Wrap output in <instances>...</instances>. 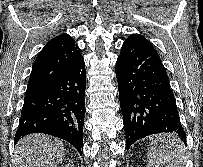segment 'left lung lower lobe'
<instances>
[{
  "instance_id": "0a47b994",
  "label": "left lung lower lobe",
  "mask_w": 203,
  "mask_h": 167,
  "mask_svg": "<svg viewBox=\"0 0 203 167\" xmlns=\"http://www.w3.org/2000/svg\"><path fill=\"white\" fill-rule=\"evenodd\" d=\"M126 148L148 135L171 132L186 144L168 76L157 54L134 40L122 45L116 62Z\"/></svg>"
}]
</instances>
